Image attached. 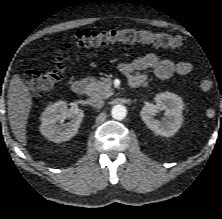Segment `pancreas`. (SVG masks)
<instances>
[{"mask_svg":"<svg viewBox=\"0 0 222 219\" xmlns=\"http://www.w3.org/2000/svg\"><path fill=\"white\" fill-rule=\"evenodd\" d=\"M87 94L92 97L107 99L112 95V92L108 86L103 81L87 78Z\"/></svg>","mask_w":222,"mask_h":219,"instance_id":"obj_1","label":"pancreas"}]
</instances>
